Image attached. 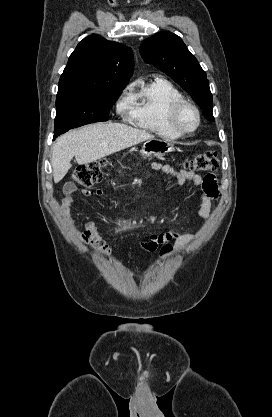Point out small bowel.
Wrapping results in <instances>:
<instances>
[{
	"label": "small bowel",
	"mask_w": 272,
	"mask_h": 417,
	"mask_svg": "<svg viewBox=\"0 0 272 417\" xmlns=\"http://www.w3.org/2000/svg\"><path fill=\"white\" fill-rule=\"evenodd\" d=\"M150 167L154 170H159L172 176L178 184H184L186 181L192 182L200 188L201 206L199 209L200 217H207L212 210V201L217 198L219 194L217 181L214 175L208 174L201 177L199 174L191 171L180 170L169 164H162L159 162H151ZM77 191V186L73 182L65 183L63 187V199L61 204V213L67 222L77 231L83 242L88 244L95 252L100 255H109L111 248L102 240L99 235L96 225L92 220H88L84 224L83 230H79L71 215V210L75 207L74 194ZM84 196H91L93 191L89 188L82 190ZM95 195L102 196L103 191L97 189ZM194 236L185 232L182 229H174L166 232L151 235L146 241L142 243V247L149 252H153L159 246L174 241L177 254H180L184 248L194 241Z\"/></svg>",
	"instance_id": "small-bowel-1"
}]
</instances>
